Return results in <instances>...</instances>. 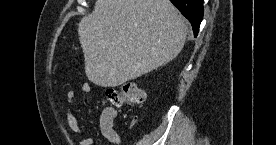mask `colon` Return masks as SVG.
<instances>
[{"label":"colon","instance_id":"colon-1","mask_svg":"<svg viewBox=\"0 0 276 145\" xmlns=\"http://www.w3.org/2000/svg\"><path fill=\"white\" fill-rule=\"evenodd\" d=\"M107 98L116 106L139 107L145 102V92L136 84L126 82L119 89H109Z\"/></svg>","mask_w":276,"mask_h":145}]
</instances>
